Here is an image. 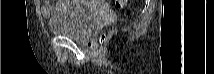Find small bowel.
Masks as SVG:
<instances>
[{"label": "small bowel", "instance_id": "obj_1", "mask_svg": "<svg viewBox=\"0 0 214 74\" xmlns=\"http://www.w3.org/2000/svg\"><path fill=\"white\" fill-rule=\"evenodd\" d=\"M95 3H99V2H95ZM71 4L72 3L70 1H62V2H58L56 4V7L60 8V7L69 6ZM55 13L56 11L50 2H46L45 5L42 7V14L46 18L53 17Z\"/></svg>", "mask_w": 214, "mask_h": 74}]
</instances>
